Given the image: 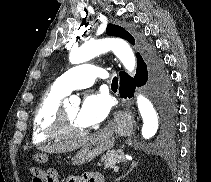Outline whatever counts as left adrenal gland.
Listing matches in <instances>:
<instances>
[{"label":"left adrenal gland","instance_id":"1","mask_svg":"<svg viewBox=\"0 0 211 182\" xmlns=\"http://www.w3.org/2000/svg\"><path fill=\"white\" fill-rule=\"evenodd\" d=\"M137 164H138V162H132V163H131V168L129 169V171H128L125 175H123V176L117 178L116 181H119V180H121L122 178H124L125 176H127V175L133 170V168L137 166Z\"/></svg>","mask_w":211,"mask_h":182}]
</instances>
